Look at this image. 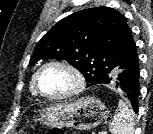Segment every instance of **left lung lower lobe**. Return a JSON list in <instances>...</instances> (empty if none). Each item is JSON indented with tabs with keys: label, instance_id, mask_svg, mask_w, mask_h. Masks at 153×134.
Returning <instances> with one entry per match:
<instances>
[{
	"label": "left lung lower lobe",
	"instance_id": "left-lung-lower-lobe-1",
	"mask_svg": "<svg viewBox=\"0 0 153 134\" xmlns=\"http://www.w3.org/2000/svg\"><path fill=\"white\" fill-rule=\"evenodd\" d=\"M139 58L137 51L123 60L109 75L103 77L99 84H112L131 102L133 110L139 109Z\"/></svg>",
	"mask_w": 153,
	"mask_h": 134
}]
</instances>
